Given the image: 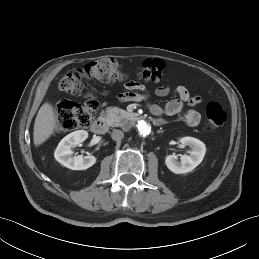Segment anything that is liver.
<instances>
[{"label":"liver","instance_id":"obj_1","mask_svg":"<svg viewBox=\"0 0 259 259\" xmlns=\"http://www.w3.org/2000/svg\"><path fill=\"white\" fill-rule=\"evenodd\" d=\"M57 119L52 105L44 103L36 116L34 123L33 142L35 146H40L54 133Z\"/></svg>","mask_w":259,"mask_h":259}]
</instances>
